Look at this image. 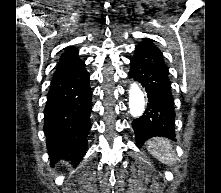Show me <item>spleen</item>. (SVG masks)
I'll return each instance as SVG.
<instances>
[{"label":"spleen","instance_id":"1","mask_svg":"<svg viewBox=\"0 0 221 193\" xmlns=\"http://www.w3.org/2000/svg\"><path fill=\"white\" fill-rule=\"evenodd\" d=\"M148 151L161 163L172 166L176 159L173 147L169 140L165 138H153L147 143Z\"/></svg>","mask_w":221,"mask_h":193}]
</instances>
